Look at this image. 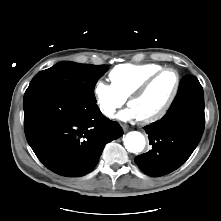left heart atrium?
<instances>
[{
    "label": "left heart atrium",
    "mask_w": 221,
    "mask_h": 221,
    "mask_svg": "<svg viewBox=\"0 0 221 221\" xmlns=\"http://www.w3.org/2000/svg\"><path fill=\"white\" fill-rule=\"evenodd\" d=\"M117 118L123 122L139 119L135 110L130 106L120 111Z\"/></svg>",
    "instance_id": "1"
}]
</instances>
